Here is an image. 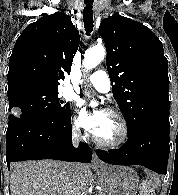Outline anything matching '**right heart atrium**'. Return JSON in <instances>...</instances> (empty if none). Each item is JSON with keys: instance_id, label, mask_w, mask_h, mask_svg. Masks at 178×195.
I'll list each match as a JSON object with an SVG mask.
<instances>
[{"instance_id": "d8ad5b80", "label": "right heart atrium", "mask_w": 178, "mask_h": 195, "mask_svg": "<svg viewBox=\"0 0 178 195\" xmlns=\"http://www.w3.org/2000/svg\"><path fill=\"white\" fill-rule=\"evenodd\" d=\"M72 133L77 138L83 136V133L81 131V123L77 117H74L72 121Z\"/></svg>"}]
</instances>
